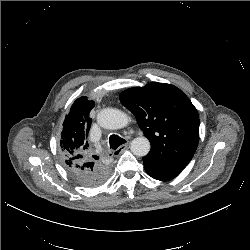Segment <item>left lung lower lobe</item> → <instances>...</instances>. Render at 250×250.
I'll return each instance as SVG.
<instances>
[{
	"label": "left lung lower lobe",
	"mask_w": 250,
	"mask_h": 250,
	"mask_svg": "<svg viewBox=\"0 0 250 250\" xmlns=\"http://www.w3.org/2000/svg\"><path fill=\"white\" fill-rule=\"evenodd\" d=\"M143 164L147 174L160 181H168L175 178L185 167L180 165L164 164L149 156L143 157Z\"/></svg>",
	"instance_id": "left-lung-lower-lobe-1"
}]
</instances>
